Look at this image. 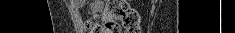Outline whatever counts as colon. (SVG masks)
Wrapping results in <instances>:
<instances>
[{
  "label": "colon",
  "mask_w": 235,
  "mask_h": 33,
  "mask_svg": "<svg viewBox=\"0 0 235 33\" xmlns=\"http://www.w3.org/2000/svg\"><path fill=\"white\" fill-rule=\"evenodd\" d=\"M124 33H141L140 16L122 0H110L101 13V21H88L87 33H119L120 25Z\"/></svg>",
  "instance_id": "obj_1"
}]
</instances>
